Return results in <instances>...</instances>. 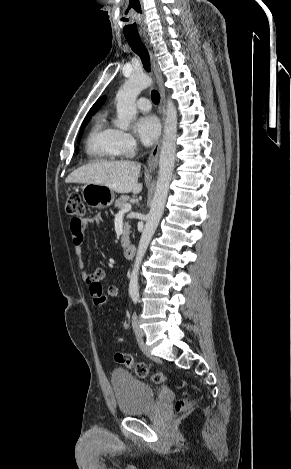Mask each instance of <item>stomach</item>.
<instances>
[{"mask_svg": "<svg viewBox=\"0 0 291 469\" xmlns=\"http://www.w3.org/2000/svg\"><path fill=\"white\" fill-rule=\"evenodd\" d=\"M83 200L93 208H106L110 206L115 198L114 191L107 186L97 184H86L82 190Z\"/></svg>", "mask_w": 291, "mask_h": 469, "instance_id": "1", "label": "stomach"}]
</instances>
